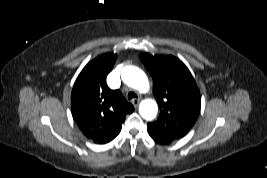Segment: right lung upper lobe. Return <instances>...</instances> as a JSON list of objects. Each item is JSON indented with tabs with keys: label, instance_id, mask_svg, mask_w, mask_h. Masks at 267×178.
I'll list each match as a JSON object with an SVG mask.
<instances>
[{
	"label": "right lung upper lobe",
	"instance_id": "1",
	"mask_svg": "<svg viewBox=\"0 0 267 178\" xmlns=\"http://www.w3.org/2000/svg\"><path fill=\"white\" fill-rule=\"evenodd\" d=\"M117 55L106 53L89 62L75 81L71 110L82 133L94 143L105 144L120 132L126 114L134 107L119 90H111L106 77Z\"/></svg>",
	"mask_w": 267,
	"mask_h": 178
}]
</instances>
